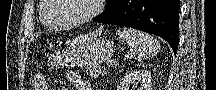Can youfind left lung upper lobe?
Segmentation results:
<instances>
[{
    "label": "left lung upper lobe",
    "mask_w": 216,
    "mask_h": 90,
    "mask_svg": "<svg viewBox=\"0 0 216 90\" xmlns=\"http://www.w3.org/2000/svg\"><path fill=\"white\" fill-rule=\"evenodd\" d=\"M119 1L120 0H107V3L109 4L108 9L114 8L119 3Z\"/></svg>",
    "instance_id": "1"
}]
</instances>
